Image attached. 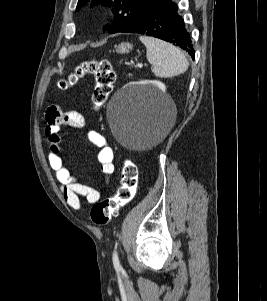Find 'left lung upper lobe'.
<instances>
[{
  "mask_svg": "<svg viewBox=\"0 0 267 301\" xmlns=\"http://www.w3.org/2000/svg\"><path fill=\"white\" fill-rule=\"evenodd\" d=\"M91 0H79L77 10H80ZM159 0H92L91 7L102 4L112 7L114 19L111 25L105 26L108 33H117L123 26L134 21L143 14L150 6Z\"/></svg>",
  "mask_w": 267,
  "mask_h": 301,
  "instance_id": "5c2ea615",
  "label": "left lung upper lobe"
}]
</instances>
